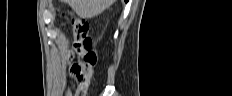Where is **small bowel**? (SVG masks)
Listing matches in <instances>:
<instances>
[{"label": "small bowel", "instance_id": "small-bowel-1", "mask_svg": "<svg viewBox=\"0 0 232 96\" xmlns=\"http://www.w3.org/2000/svg\"><path fill=\"white\" fill-rule=\"evenodd\" d=\"M81 70L83 75H85L88 79H90L92 75V69L87 66H81Z\"/></svg>", "mask_w": 232, "mask_h": 96}]
</instances>
